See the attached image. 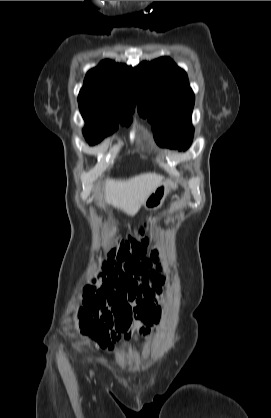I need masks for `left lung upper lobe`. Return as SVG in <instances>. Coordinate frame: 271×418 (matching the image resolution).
I'll list each match as a JSON object with an SVG mask.
<instances>
[{"label": "left lung upper lobe", "mask_w": 271, "mask_h": 418, "mask_svg": "<svg viewBox=\"0 0 271 418\" xmlns=\"http://www.w3.org/2000/svg\"><path fill=\"white\" fill-rule=\"evenodd\" d=\"M137 107L153 124L156 141L186 150L193 138L194 93L187 74L169 57L143 62L134 69Z\"/></svg>", "instance_id": "left-lung-upper-lobe-1"}]
</instances>
